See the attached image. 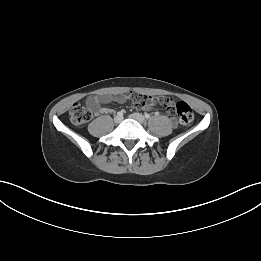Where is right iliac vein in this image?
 <instances>
[{"mask_svg":"<svg viewBox=\"0 0 261 261\" xmlns=\"http://www.w3.org/2000/svg\"><path fill=\"white\" fill-rule=\"evenodd\" d=\"M122 119H123L122 116L116 115V116L114 117V122H115L116 124H118V123H120V122L122 121Z\"/></svg>","mask_w":261,"mask_h":261,"instance_id":"obj_1","label":"right iliac vein"}]
</instances>
